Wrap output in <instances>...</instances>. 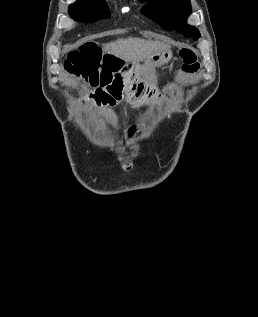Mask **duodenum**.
Returning <instances> with one entry per match:
<instances>
[{
  "instance_id": "410a0bca",
  "label": "duodenum",
  "mask_w": 258,
  "mask_h": 317,
  "mask_svg": "<svg viewBox=\"0 0 258 317\" xmlns=\"http://www.w3.org/2000/svg\"><path fill=\"white\" fill-rule=\"evenodd\" d=\"M137 70L134 66L120 67L105 83L93 90L89 98L97 105H113L120 101L124 94L135 87Z\"/></svg>"
}]
</instances>
